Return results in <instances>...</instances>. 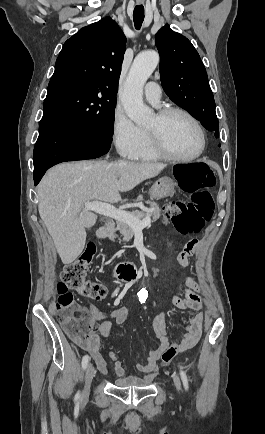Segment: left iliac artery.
<instances>
[{
	"label": "left iliac artery",
	"mask_w": 265,
	"mask_h": 434,
	"mask_svg": "<svg viewBox=\"0 0 265 434\" xmlns=\"http://www.w3.org/2000/svg\"><path fill=\"white\" fill-rule=\"evenodd\" d=\"M180 375H181V379H182L184 388L186 390H188V379H187L186 373L182 370V367H180Z\"/></svg>",
	"instance_id": "left-iliac-artery-1"
}]
</instances>
